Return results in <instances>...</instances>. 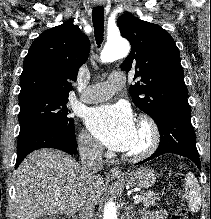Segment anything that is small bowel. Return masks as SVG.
<instances>
[{"mask_svg": "<svg viewBox=\"0 0 211 219\" xmlns=\"http://www.w3.org/2000/svg\"><path fill=\"white\" fill-rule=\"evenodd\" d=\"M141 219H167V213L164 210H156L142 214Z\"/></svg>", "mask_w": 211, "mask_h": 219, "instance_id": "c3829d8e", "label": "small bowel"}]
</instances>
